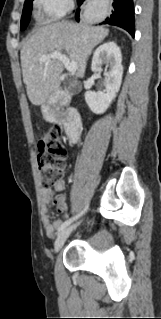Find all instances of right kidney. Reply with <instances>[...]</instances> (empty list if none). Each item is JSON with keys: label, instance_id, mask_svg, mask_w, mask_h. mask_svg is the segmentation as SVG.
I'll return each mask as SVG.
<instances>
[{"label": "right kidney", "instance_id": "ca27d5eb", "mask_svg": "<svg viewBox=\"0 0 161 319\" xmlns=\"http://www.w3.org/2000/svg\"><path fill=\"white\" fill-rule=\"evenodd\" d=\"M122 55L120 48L114 42L99 46L92 58L91 70L95 73L103 71L106 77L105 92L86 91L85 100L90 110L95 114L104 113L118 93L123 76Z\"/></svg>", "mask_w": 161, "mask_h": 319}]
</instances>
